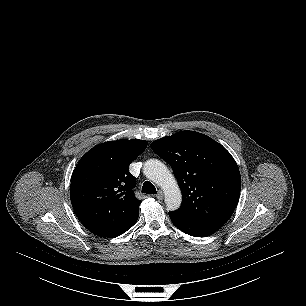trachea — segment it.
Wrapping results in <instances>:
<instances>
[{
	"mask_svg": "<svg viewBox=\"0 0 306 306\" xmlns=\"http://www.w3.org/2000/svg\"><path fill=\"white\" fill-rule=\"evenodd\" d=\"M142 193L156 194V188L151 182L146 181L142 186Z\"/></svg>",
	"mask_w": 306,
	"mask_h": 306,
	"instance_id": "3493384b",
	"label": "trachea"
}]
</instances>
